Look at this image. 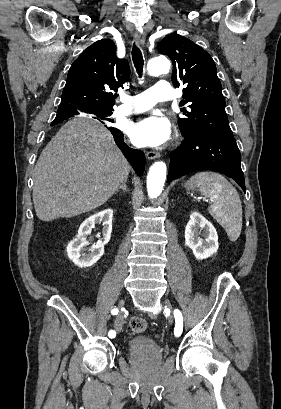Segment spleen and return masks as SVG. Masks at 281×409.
Masks as SVG:
<instances>
[{
	"instance_id": "3e777b00",
	"label": "spleen",
	"mask_w": 281,
	"mask_h": 409,
	"mask_svg": "<svg viewBox=\"0 0 281 409\" xmlns=\"http://www.w3.org/2000/svg\"><path fill=\"white\" fill-rule=\"evenodd\" d=\"M191 188L198 186L201 194L208 196L213 205L208 207L213 219L225 229L229 241H237L242 231V205L233 184L219 172H197L188 180Z\"/></svg>"
}]
</instances>
